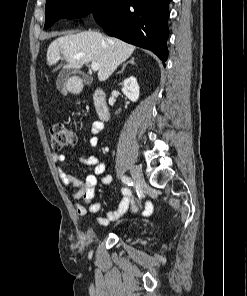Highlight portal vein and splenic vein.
<instances>
[{"instance_id":"obj_1","label":"portal vein and splenic vein","mask_w":247,"mask_h":296,"mask_svg":"<svg viewBox=\"0 0 247 296\" xmlns=\"http://www.w3.org/2000/svg\"><path fill=\"white\" fill-rule=\"evenodd\" d=\"M99 67H100V65L98 63H96V62L91 63V69L93 71H97L99 69Z\"/></svg>"}]
</instances>
